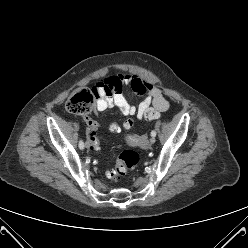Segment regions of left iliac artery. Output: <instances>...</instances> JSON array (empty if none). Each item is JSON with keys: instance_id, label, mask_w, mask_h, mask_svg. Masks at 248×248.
I'll return each instance as SVG.
<instances>
[{"instance_id": "44dca946", "label": "left iliac artery", "mask_w": 248, "mask_h": 248, "mask_svg": "<svg viewBox=\"0 0 248 248\" xmlns=\"http://www.w3.org/2000/svg\"><path fill=\"white\" fill-rule=\"evenodd\" d=\"M151 136H152V137H155V136H156L155 130H152V131H151Z\"/></svg>"}]
</instances>
